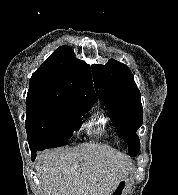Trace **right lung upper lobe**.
<instances>
[{
	"label": "right lung upper lobe",
	"instance_id": "1",
	"mask_svg": "<svg viewBox=\"0 0 178 195\" xmlns=\"http://www.w3.org/2000/svg\"><path fill=\"white\" fill-rule=\"evenodd\" d=\"M27 100L94 104L98 98L93 89L90 66L76 59L69 46L59 47L32 75Z\"/></svg>",
	"mask_w": 178,
	"mask_h": 195
}]
</instances>
